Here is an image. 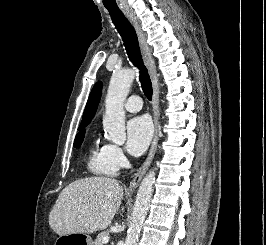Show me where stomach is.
Returning <instances> with one entry per match:
<instances>
[{
  "label": "stomach",
  "mask_w": 266,
  "mask_h": 245,
  "mask_svg": "<svg viewBox=\"0 0 266 245\" xmlns=\"http://www.w3.org/2000/svg\"><path fill=\"white\" fill-rule=\"evenodd\" d=\"M60 242H72L73 245H94L86 233H61Z\"/></svg>",
  "instance_id": "stomach-1"
}]
</instances>
